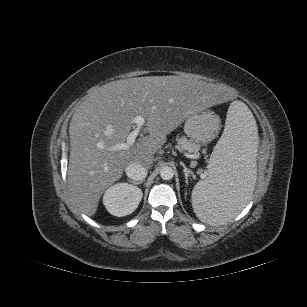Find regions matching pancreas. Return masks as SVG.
Instances as JSON below:
<instances>
[{
    "mask_svg": "<svg viewBox=\"0 0 307 307\" xmlns=\"http://www.w3.org/2000/svg\"><path fill=\"white\" fill-rule=\"evenodd\" d=\"M177 143L180 149L186 150L188 152H197L200 148L199 144L188 140L185 136L177 137Z\"/></svg>",
    "mask_w": 307,
    "mask_h": 307,
    "instance_id": "cf45deb5",
    "label": "pancreas"
}]
</instances>
